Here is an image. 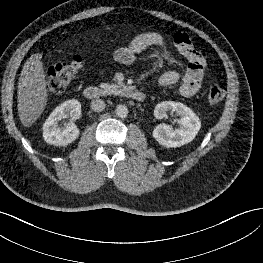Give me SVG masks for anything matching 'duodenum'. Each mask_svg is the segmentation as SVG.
Wrapping results in <instances>:
<instances>
[{"label":"duodenum","instance_id":"duodenum-1","mask_svg":"<svg viewBox=\"0 0 263 263\" xmlns=\"http://www.w3.org/2000/svg\"><path fill=\"white\" fill-rule=\"evenodd\" d=\"M123 92L129 99L142 102L145 100V94L133 87H124ZM83 95L88 100H94L102 96V90L98 86L89 85L84 88Z\"/></svg>","mask_w":263,"mask_h":263}]
</instances>
